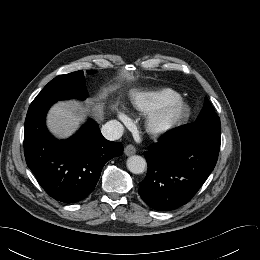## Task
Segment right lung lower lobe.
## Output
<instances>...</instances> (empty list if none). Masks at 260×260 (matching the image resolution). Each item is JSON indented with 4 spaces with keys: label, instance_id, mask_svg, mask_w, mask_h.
<instances>
[{
    "label": "right lung lower lobe",
    "instance_id": "98d812e1",
    "mask_svg": "<svg viewBox=\"0 0 260 260\" xmlns=\"http://www.w3.org/2000/svg\"><path fill=\"white\" fill-rule=\"evenodd\" d=\"M54 102L31 103L25 119V159L51 197L63 203H76L90 195L105 163L122 155L123 147L106 140L94 121L67 140L55 139L45 125L46 112Z\"/></svg>",
    "mask_w": 260,
    "mask_h": 260
}]
</instances>
